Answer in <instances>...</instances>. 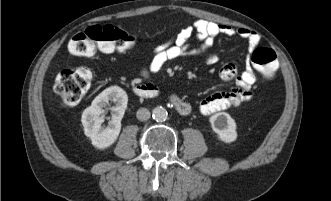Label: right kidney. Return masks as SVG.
<instances>
[{
	"label": "right kidney",
	"mask_w": 331,
	"mask_h": 201,
	"mask_svg": "<svg viewBox=\"0 0 331 201\" xmlns=\"http://www.w3.org/2000/svg\"><path fill=\"white\" fill-rule=\"evenodd\" d=\"M113 102L112 116L107 126L103 125L105 108ZM128 96L118 87L111 86L101 92L87 107L83 113L81 122L84 133L90 138L91 143L97 149L110 147L118 138L121 130V120L127 108Z\"/></svg>",
	"instance_id": "right-kidney-1"
}]
</instances>
